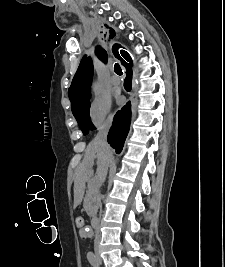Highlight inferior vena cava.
Returning <instances> with one entry per match:
<instances>
[{
	"label": "inferior vena cava",
	"instance_id": "602c4592",
	"mask_svg": "<svg viewBox=\"0 0 225 267\" xmlns=\"http://www.w3.org/2000/svg\"><path fill=\"white\" fill-rule=\"evenodd\" d=\"M110 126H111V120L107 121L99 129V132L94 139L95 142L100 145V147L102 148V150L105 152V154L108 156L109 159L111 158V151H110V146L107 143V135H108ZM107 170H108V164H106V166L98 173L96 177L97 188L105 181L106 176H107ZM97 204L101 208V198H100L99 193L97 196ZM94 245L95 246L99 245V233L98 232L96 233V236H95Z\"/></svg>",
	"mask_w": 225,
	"mask_h": 267
}]
</instances>
